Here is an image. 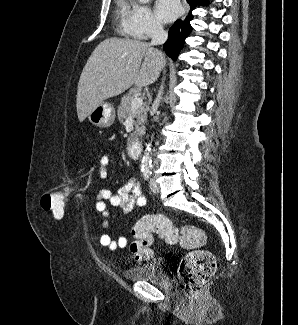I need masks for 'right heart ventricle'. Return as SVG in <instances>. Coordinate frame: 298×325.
Here are the masks:
<instances>
[{"label": "right heart ventricle", "mask_w": 298, "mask_h": 325, "mask_svg": "<svg viewBox=\"0 0 298 325\" xmlns=\"http://www.w3.org/2000/svg\"><path fill=\"white\" fill-rule=\"evenodd\" d=\"M115 22L117 29V37H127L125 31L132 22V8L127 1H119L117 4Z\"/></svg>", "instance_id": "1"}]
</instances>
